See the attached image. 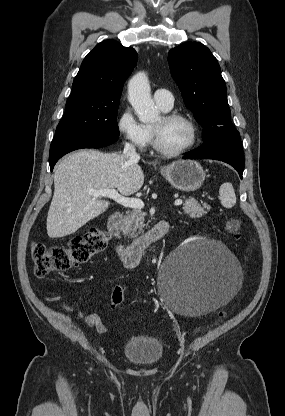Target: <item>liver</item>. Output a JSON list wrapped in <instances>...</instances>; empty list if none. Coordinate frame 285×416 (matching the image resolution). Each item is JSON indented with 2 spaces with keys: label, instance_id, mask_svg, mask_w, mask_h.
Returning a JSON list of instances; mask_svg holds the SVG:
<instances>
[{
  "label": "liver",
  "instance_id": "1",
  "mask_svg": "<svg viewBox=\"0 0 285 416\" xmlns=\"http://www.w3.org/2000/svg\"><path fill=\"white\" fill-rule=\"evenodd\" d=\"M144 184L137 164L122 154L78 150L62 160L54 174V196L47 216L49 238H64L106 212L110 202L89 196L87 190H115L131 196Z\"/></svg>",
  "mask_w": 285,
  "mask_h": 416
}]
</instances>
